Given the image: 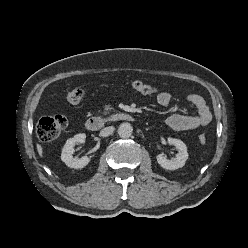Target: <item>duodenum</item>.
I'll use <instances>...</instances> for the list:
<instances>
[{
	"instance_id": "duodenum-1",
	"label": "duodenum",
	"mask_w": 248,
	"mask_h": 248,
	"mask_svg": "<svg viewBox=\"0 0 248 248\" xmlns=\"http://www.w3.org/2000/svg\"><path fill=\"white\" fill-rule=\"evenodd\" d=\"M132 120L133 117L131 114L122 111H117L104 116L90 117L89 119H87L85 126L90 131H96L110 124H115L119 122H129Z\"/></svg>"
}]
</instances>
